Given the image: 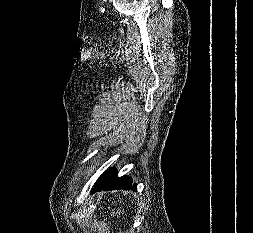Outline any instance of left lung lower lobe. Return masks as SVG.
Instances as JSON below:
<instances>
[{
	"mask_svg": "<svg viewBox=\"0 0 253 233\" xmlns=\"http://www.w3.org/2000/svg\"><path fill=\"white\" fill-rule=\"evenodd\" d=\"M114 189H123V190H136V185L132 186V179L129 177H117L115 169H109L105 171L92 189L93 192L97 191H107Z\"/></svg>",
	"mask_w": 253,
	"mask_h": 233,
	"instance_id": "left-lung-lower-lobe-1",
	"label": "left lung lower lobe"
}]
</instances>
